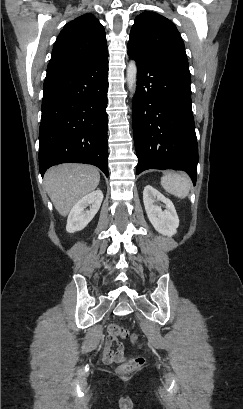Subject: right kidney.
Wrapping results in <instances>:
<instances>
[{"label":"right kidney","instance_id":"obj_1","mask_svg":"<svg viewBox=\"0 0 243 409\" xmlns=\"http://www.w3.org/2000/svg\"><path fill=\"white\" fill-rule=\"evenodd\" d=\"M102 200L103 192L98 189L87 194L77 202L68 215L67 232L74 233L83 230L98 212ZM87 206H90L89 210H85Z\"/></svg>","mask_w":243,"mask_h":409}]
</instances>
